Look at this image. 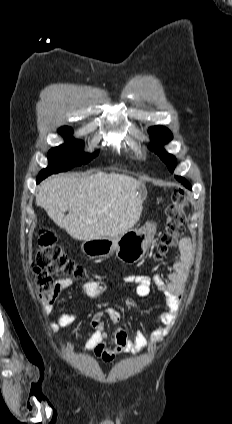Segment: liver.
I'll return each instance as SVG.
<instances>
[{
    "label": "liver",
    "mask_w": 232,
    "mask_h": 424,
    "mask_svg": "<svg viewBox=\"0 0 232 424\" xmlns=\"http://www.w3.org/2000/svg\"><path fill=\"white\" fill-rule=\"evenodd\" d=\"M145 194L138 180L124 174H58L42 182L36 205L72 238L85 241L131 229L141 216Z\"/></svg>",
    "instance_id": "6515ba94"
}]
</instances>
